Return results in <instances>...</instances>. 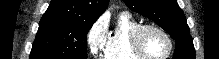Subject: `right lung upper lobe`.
Returning <instances> with one entry per match:
<instances>
[{"label": "right lung upper lobe", "instance_id": "cb5924a9", "mask_svg": "<svg viewBox=\"0 0 219 59\" xmlns=\"http://www.w3.org/2000/svg\"><path fill=\"white\" fill-rule=\"evenodd\" d=\"M108 3L109 0H52L42 18L95 22Z\"/></svg>", "mask_w": 219, "mask_h": 59}]
</instances>
